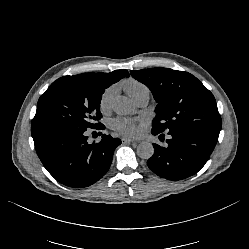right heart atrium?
Returning a JSON list of instances; mask_svg holds the SVG:
<instances>
[{
  "instance_id": "right-heart-atrium-1",
  "label": "right heart atrium",
  "mask_w": 249,
  "mask_h": 249,
  "mask_svg": "<svg viewBox=\"0 0 249 249\" xmlns=\"http://www.w3.org/2000/svg\"><path fill=\"white\" fill-rule=\"evenodd\" d=\"M116 93L114 85L106 87L99 98V108L102 112H107L111 109L113 97Z\"/></svg>"
}]
</instances>
